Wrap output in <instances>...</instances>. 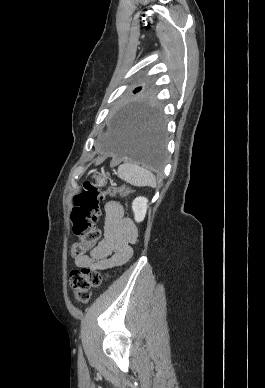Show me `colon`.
<instances>
[{"instance_id":"colon-1","label":"colon","mask_w":265,"mask_h":388,"mask_svg":"<svg viewBox=\"0 0 265 388\" xmlns=\"http://www.w3.org/2000/svg\"><path fill=\"white\" fill-rule=\"evenodd\" d=\"M127 195L129 191L119 185H111L100 189L90 182L74 198V208L71 213L72 231L79 239L71 247V256L76 258L92 248L100 237L96 223L100 215V203L106 195ZM103 275L91 268L82 267L70 273V285L75 299L80 303H87L91 297V290L101 285Z\"/></svg>"}]
</instances>
